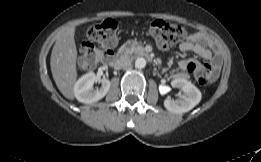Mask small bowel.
<instances>
[{"label": "small bowel", "mask_w": 261, "mask_h": 162, "mask_svg": "<svg viewBox=\"0 0 261 162\" xmlns=\"http://www.w3.org/2000/svg\"><path fill=\"white\" fill-rule=\"evenodd\" d=\"M204 40V35L200 33H193L180 44L179 49L182 52H193L204 60L209 61L212 66V73L215 75L220 67L221 60L215 53H213L202 43ZM193 64V60H182L179 62V67L182 70H189Z\"/></svg>", "instance_id": "1"}]
</instances>
